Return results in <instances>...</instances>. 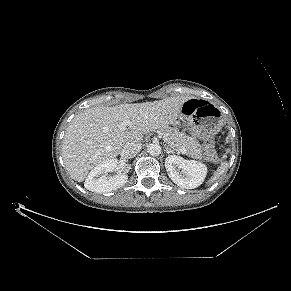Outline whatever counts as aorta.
Segmentation results:
<instances>
[{"label": "aorta", "instance_id": "obj_1", "mask_svg": "<svg viewBox=\"0 0 291 291\" xmlns=\"http://www.w3.org/2000/svg\"><path fill=\"white\" fill-rule=\"evenodd\" d=\"M148 153L151 156H159L161 154V146L159 144H150L148 146Z\"/></svg>", "mask_w": 291, "mask_h": 291}]
</instances>
